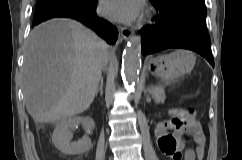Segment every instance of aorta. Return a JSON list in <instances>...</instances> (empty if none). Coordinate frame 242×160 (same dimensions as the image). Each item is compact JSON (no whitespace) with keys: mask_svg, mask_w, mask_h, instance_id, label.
I'll return each mask as SVG.
<instances>
[{"mask_svg":"<svg viewBox=\"0 0 242 160\" xmlns=\"http://www.w3.org/2000/svg\"><path fill=\"white\" fill-rule=\"evenodd\" d=\"M141 41L138 36L130 39L122 59L124 79L133 84L138 79L141 67Z\"/></svg>","mask_w":242,"mask_h":160,"instance_id":"762f6f07","label":"aorta"}]
</instances>
